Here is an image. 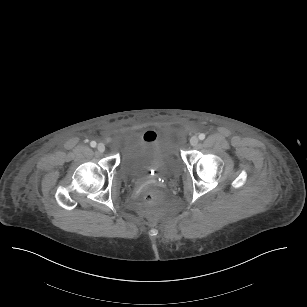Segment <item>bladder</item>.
<instances>
[{"mask_svg": "<svg viewBox=\"0 0 307 307\" xmlns=\"http://www.w3.org/2000/svg\"><path fill=\"white\" fill-rule=\"evenodd\" d=\"M181 163L174 148L158 140H142L127 146L120 157V172L129 180H144L151 171L166 175H175L180 171Z\"/></svg>", "mask_w": 307, "mask_h": 307, "instance_id": "obj_1", "label": "bladder"}]
</instances>
